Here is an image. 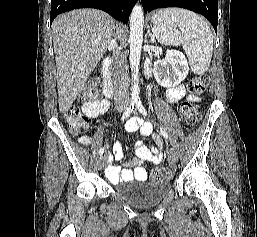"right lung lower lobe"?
I'll return each mask as SVG.
<instances>
[{"instance_id":"1","label":"right lung lower lobe","mask_w":257,"mask_h":237,"mask_svg":"<svg viewBox=\"0 0 257 237\" xmlns=\"http://www.w3.org/2000/svg\"><path fill=\"white\" fill-rule=\"evenodd\" d=\"M136 1L137 0H52L50 24L57 15L79 8L100 9L113 16L116 20L127 23Z\"/></svg>"}]
</instances>
